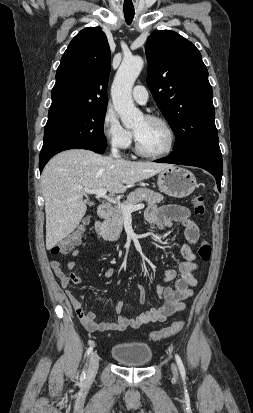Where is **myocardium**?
<instances>
[{
    "label": "myocardium",
    "mask_w": 253,
    "mask_h": 413,
    "mask_svg": "<svg viewBox=\"0 0 253 413\" xmlns=\"http://www.w3.org/2000/svg\"><path fill=\"white\" fill-rule=\"evenodd\" d=\"M147 120L156 122L160 125H162L165 130L168 133L169 136V142L167 147L159 152H147L144 149L141 148L136 135L134 134V140H135V151L137 154L140 156L146 157V158H159L163 157L165 155H168L174 148L175 142H176V133L172 125L163 117L160 116H154V115H148L145 117Z\"/></svg>",
    "instance_id": "obj_1"
}]
</instances>
